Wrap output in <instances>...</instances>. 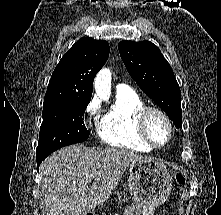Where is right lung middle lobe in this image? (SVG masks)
I'll return each instance as SVG.
<instances>
[{"label":"right lung middle lobe","instance_id":"1","mask_svg":"<svg viewBox=\"0 0 221 215\" xmlns=\"http://www.w3.org/2000/svg\"><path fill=\"white\" fill-rule=\"evenodd\" d=\"M89 100H65L43 104L36 158L46 157L55 150L85 141L89 131L83 122Z\"/></svg>","mask_w":221,"mask_h":215}]
</instances>
